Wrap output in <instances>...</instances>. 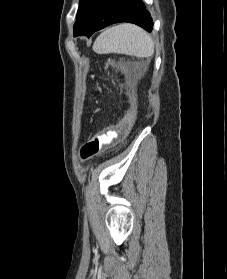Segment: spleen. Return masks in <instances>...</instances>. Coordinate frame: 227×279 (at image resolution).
Instances as JSON below:
<instances>
[{
  "instance_id": "obj_1",
  "label": "spleen",
  "mask_w": 227,
  "mask_h": 279,
  "mask_svg": "<svg viewBox=\"0 0 227 279\" xmlns=\"http://www.w3.org/2000/svg\"><path fill=\"white\" fill-rule=\"evenodd\" d=\"M93 50L98 54L121 53L146 58L153 55L154 43L140 27L120 24L101 33L93 44Z\"/></svg>"
}]
</instances>
